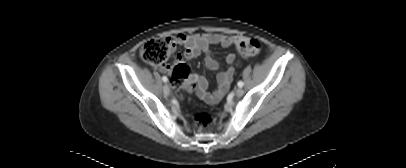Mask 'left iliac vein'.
<instances>
[{
    "mask_svg": "<svg viewBox=\"0 0 406 168\" xmlns=\"http://www.w3.org/2000/svg\"><path fill=\"white\" fill-rule=\"evenodd\" d=\"M235 94L237 97H241L244 94V90L242 88H237Z\"/></svg>",
    "mask_w": 406,
    "mask_h": 168,
    "instance_id": "4c4485c4",
    "label": "left iliac vein"
}]
</instances>
